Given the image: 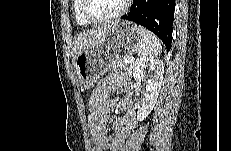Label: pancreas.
<instances>
[{
  "mask_svg": "<svg viewBox=\"0 0 231 151\" xmlns=\"http://www.w3.org/2000/svg\"><path fill=\"white\" fill-rule=\"evenodd\" d=\"M112 68L114 70L120 69L130 73L133 68V62L127 63L125 62V57H120L113 63Z\"/></svg>",
  "mask_w": 231,
  "mask_h": 151,
  "instance_id": "1",
  "label": "pancreas"
}]
</instances>
